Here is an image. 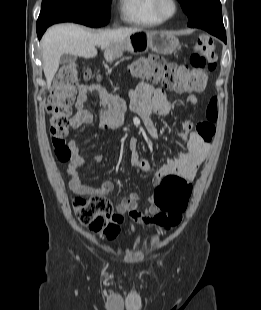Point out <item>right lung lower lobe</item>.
Instances as JSON below:
<instances>
[{
    "instance_id": "98d812e1",
    "label": "right lung lower lobe",
    "mask_w": 261,
    "mask_h": 310,
    "mask_svg": "<svg viewBox=\"0 0 261 310\" xmlns=\"http://www.w3.org/2000/svg\"><path fill=\"white\" fill-rule=\"evenodd\" d=\"M48 26H44V27H40V28H37V35H38V38L40 39L43 35V33L46 31Z\"/></svg>"
}]
</instances>
